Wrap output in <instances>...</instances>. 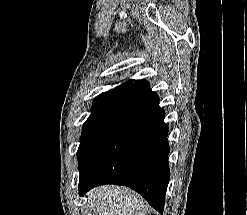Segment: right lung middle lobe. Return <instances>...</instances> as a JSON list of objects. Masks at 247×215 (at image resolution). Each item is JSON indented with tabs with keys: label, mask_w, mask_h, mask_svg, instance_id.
<instances>
[{
	"label": "right lung middle lobe",
	"mask_w": 247,
	"mask_h": 215,
	"mask_svg": "<svg viewBox=\"0 0 247 215\" xmlns=\"http://www.w3.org/2000/svg\"><path fill=\"white\" fill-rule=\"evenodd\" d=\"M125 90H110L97 96L91 108V115L88 117L82 128L81 144L87 138L91 130L100 121V119L109 111V109L120 99ZM79 146V147H80Z\"/></svg>",
	"instance_id": "right-lung-middle-lobe-1"
}]
</instances>
